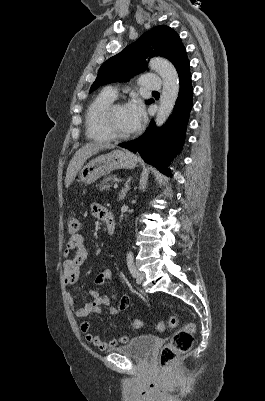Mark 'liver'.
<instances>
[{
  "label": "liver",
  "instance_id": "6515ba94",
  "mask_svg": "<svg viewBox=\"0 0 265 401\" xmlns=\"http://www.w3.org/2000/svg\"><path fill=\"white\" fill-rule=\"evenodd\" d=\"M115 144H110V142H97V140H92V142H86L84 146H81L79 150H76L73 158H71L65 178L66 186H70L73 182L78 170H81L85 160L97 154L99 150H104V148H114Z\"/></svg>",
  "mask_w": 265,
  "mask_h": 401
}]
</instances>
